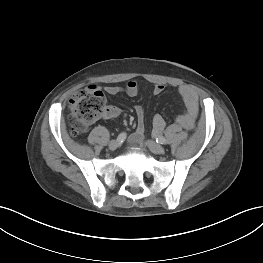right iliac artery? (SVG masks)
Wrapping results in <instances>:
<instances>
[{
    "label": "right iliac artery",
    "instance_id": "obj_1",
    "mask_svg": "<svg viewBox=\"0 0 263 263\" xmlns=\"http://www.w3.org/2000/svg\"><path fill=\"white\" fill-rule=\"evenodd\" d=\"M126 139V133L122 132L118 135L117 140L122 143Z\"/></svg>",
    "mask_w": 263,
    "mask_h": 263
}]
</instances>
